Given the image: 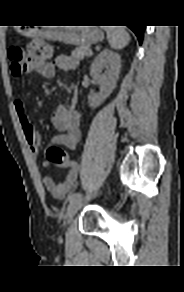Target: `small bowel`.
Returning <instances> with one entry per match:
<instances>
[{
    "mask_svg": "<svg viewBox=\"0 0 184 292\" xmlns=\"http://www.w3.org/2000/svg\"><path fill=\"white\" fill-rule=\"evenodd\" d=\"M76 66L77 61L74 58L67 55H59L53 61L40 63L31 69L41 77L51 78L54 76L56 68L71 70ZM76 102L77 91L74 90L69 99V104L67 106L61 105L57 107L52 115V124L57 131V134L53 138V143L55 145L65 146L71 150L76 148L81 139L80 115L74 108ZM14 108L29 150L32 155L36 156L39 152L41 139L26 112L25 103L21 99H17L14 101ZM45 164L49 166L50 162L47 160ZM61 167L66 170L62 182L55 183L49 176H45L42 180L44 187L55 198H63L72 191L79 174V165L75 161H70L61 165Z\"/></svg>",
    "mask_w": 184,
    "mask_h": 292,
    "instance_id": "obj_1",
    "label": "small bowel"
}]
</instances>
